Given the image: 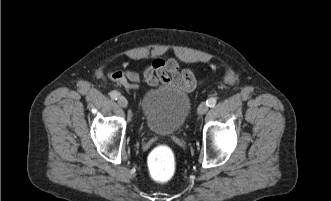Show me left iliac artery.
I'll use <instances>...</instances> for the list:
<instances>
[{"instance_id": "obj_1", "label": "left iliac artery", "mask_w": 331, "mask_h": 201, "mask_svg": "<svg viewBox=\"0 0 331 201\" xmlns=\"http://www.w3.org/2000/svg\"><path fill=\"white\" fill-rule=\"evenodd\" d=\"M217 100L216 98H209L207 101H206V104L207 106L209 107H214L215 104H216Z\"/></svg>"}]
</instances>
